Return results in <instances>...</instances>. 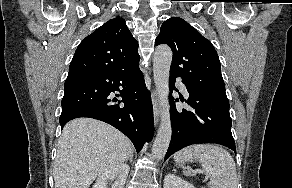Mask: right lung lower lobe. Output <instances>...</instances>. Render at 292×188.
<instances>
[{
  "label": "right lung lower lobe",
  "mask_w": 292,
  "mask_h": 188,
  "mask_svg": "<svg viewBox=\"0 0 292 188\" xmlns=\"http://www.w3.org/2000/svg\"><path fill=\"white\" fill-rule=\"evenodd\" d=\"M115 91L120 92L116 96L121 101L111 96ZM78 117L94 118L114 126L139 152L154 133L151 97L139 67L128 71L69 73L64 84L61 127Z\"/></svg>",
  "instance_id": "right-lung-lower-lobe-1"
}]
</instances>
